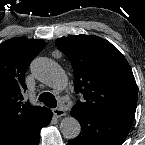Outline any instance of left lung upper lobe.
Here are the masks:
<instances>
[{
    "instance_id": "5c2ea615",
    "label": "left lung upper lobe",
    "mask_w": 145,
    "mask_h": 145,
    "mask_svg": "<svg viewBox=\"0 0 145 145\" xmlns=\"http://www.w3.org/2000/svg\"><path fill=\"white\" fill-rule=\"evenodd\" d=\"M72 64L74 89L82 93L72 110L93 114L135 115L137 85L121 52L97 36L70 35L55 42Z\"/></svg>"
}]
</instances>
